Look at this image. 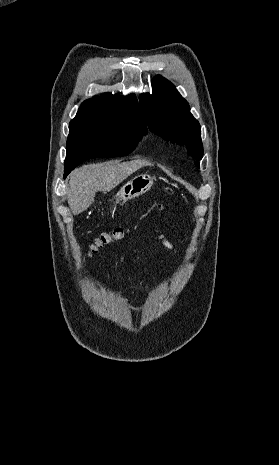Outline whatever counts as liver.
I'll use <instances>...</instances> for the list:
<instances>
[{
    "label": "liver",
    "instance_id": "liver-1",
    "mask_svg": "<svg viewBox=\"0 0 279 465\" xmlns=\"http://www.w3.org/2000/svg\"><path fill=\"white\" fill-rule=\"evenodd\" d=\"M152 164L145 160L117 163L109 161L100 164L84 165L75 169L69 178L67 192L68 205L74 215H78L93 204L98 191L109 192L132 173Z\"/></svg>",
    "mask_w": 279,
    "mask_h": 465
}]
</instances>
